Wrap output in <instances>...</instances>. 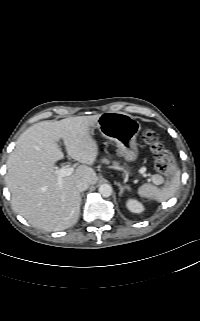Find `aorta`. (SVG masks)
Wrapping results in <instances>:
<instances>
[{
	"instance_id": "obj_1",
	"label": "aorta",
	"mask_w": 200,
	"mask_h": 321,
	"mask_svg": "<svg viewBox=\"0 0 200 321\" xmlns=\"http://www.w3.org/2000/svg\"><path fill=\"white\" fill-rule=\"evenodd\" d=\"M98 190L103 197H109L112 194V187L109 184L100 185Z\"/></svg>"
}]
</instances>
